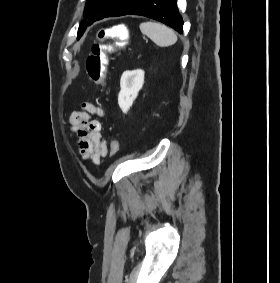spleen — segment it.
Instances as JSON below:
<instances>
[{
	"mask_svg": "<svg viewBox=\"0 0 280 283\" xmlns=\"http://www.w3.org/2000/svg\"><path fill=\"white\" fill-rule=\"evenodd\" d=\"M139 28L144 35L149 37L159 47H168L177 42L175 32L163 24L144 22L140 24Z\"/></svg>",
	"mask_w": 280,
	"mask_h": 283,
	"instance_id": "1",
	"label": "spleen"
}]
</instances>
